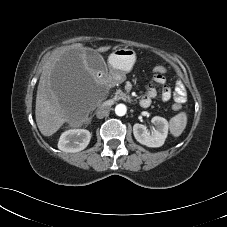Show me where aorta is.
Here are the masks:
<instances>
[{
	"label": "aorta",
	"mask_w": 227,
	"mask_h": 227,
	"mask_svg": "<svg viewBox=\"0 0 227 227\" xmlns=\"http://www.w3.org/2000/svg\"><path fill=\"white\" fill-rule=\"evenodd\" d=\"M127 112V107L124 104H118L115 107V113L118 116H124Z\"/></svg>",
	"instance_id": "aorta-1"
}]
</instances>
